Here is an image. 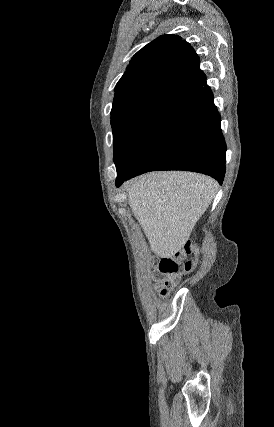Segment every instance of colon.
Returning a JSON list of instances; mask_svg holds the SVG:
<instances>
[{"label": "colon", "instance_id": "colon-1", "mask_svg": "<svg viewBox=\"0 0 274 427\" xmlns=\"http://www.w3.org/2000/svg\"><path fill=\"white\" fill-rule=\"evenodd\" d=\"M192 253L198 254V249L193 243L187 242L185 244V251L183 256H164L158 263L155 264V268L159 274L155 280L157 281L158 278H162L159 286V296L161 303H164L167 300L170 290L174 287L173 284L176 276L183 274L184 272H191L196 267V260H189L184 258L185 255H190Z\"/></svg>", "mask_w": 274, "mask_h": 427}]
</instances>
